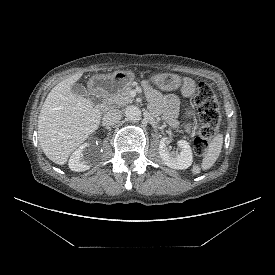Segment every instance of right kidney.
I'll use <instances>...</instances> for the list:
<instances>
[{"label": "right kidney", "mask_w": 275, "mask_h": 275, "mask_svg": "<svg viewBox=\"0 0 275 275\" xmlns=\"http://www.w3.org/2000/svg\"><path fill=\"white\" fill-rule=\"evenodd\" d=\"M88 147H90V144L85 143L72 153L68 162L69 168L72 171L81 172L89 169V166L83 159V152Z\"/></svg>", "instance_id": "obj_1"}]
</instances>
